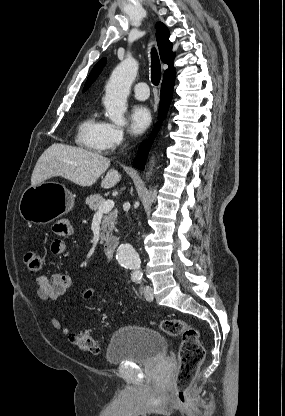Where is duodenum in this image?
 Listing matches in <instances>:
<instances>
[{
	"instance_id": "duodenum-1",
	"label": "duodenum",
	"mask_w": 285,
	"mask_h": 416,
	"mask_svg": "<svg viewBox=\"0 0 285 416\" xmlns=\"http://www.w3.org/2000/svg\"><path fill=\"white\" fill-rule=\"evenodd\" d=\"M119 245V239L117 237H110L103 243V253L104 255L111 259L114 256V253Z\"/></svg>"
}]
</instances>
